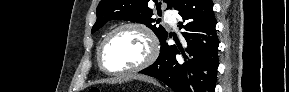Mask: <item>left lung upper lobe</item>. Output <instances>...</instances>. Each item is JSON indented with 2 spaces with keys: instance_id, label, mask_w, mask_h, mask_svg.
<instances>
[{
  "instance_id": "5c2ea615",
  "label": "left lung upper lobe",
  "mask_w": 289,
  "mask_h": 92,
  "mask_svg": "<svg viewBox=\"0 0 289 92\" xmlns=\"http://www.w3.org/2000/svg\"><path fill=\"white\" fill-rule=\"evenodd\" d=\"M150 0H101L97 6V21L92 28V33L100 29L109 20H126L145 24L159 38L160 42L168 35L162 26L153 24L155 19L152 18L153 12L148 7ZM158 11L161 3L153 0ZM178 0H164L167 3V9L174 7Z\"/></svg>"
}]
</instances>
